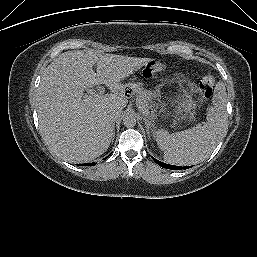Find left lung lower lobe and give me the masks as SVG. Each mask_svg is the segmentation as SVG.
I'll return each mask as SVG.
<instances>
[{
	"label": "left lung lower lobe",
	"instance_id": "0a47b994",
	"mask_svg": "<svg viewBox=\"0 0 257 257\" xmlns=\"http://www.w3.org/2000/svg\"><path fill=\"white\" fill-rule=\"evenodd\" d=\"M152 159L161 167L166 168V169H172V170H181V169H188L191 166H187V167H180V166H174V165H169V164H165L163 162L158 161L157 159L153 158Z\"/></svg>",
	"mask_w": 257,
	"mask_h": 257
}]
</instances>
